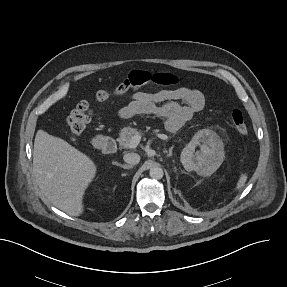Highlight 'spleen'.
Masks as SVG:
<instances>
[{
	"label": "spleen",
	"mask_w": 287,
	"mask_h": 287,
	"mask_svg": "<svg viewBox=\"0 0 287 287\" xmlns=\"http://www.w3.org/2000/svg\"><path fill=\"white\" fill-rule=\"evenodd\" d=\"M247 181V174L246 173H242L238 179L237 185H236V189L240 190L244 187L245 183Z\"/></svg>",
	"instance_id": "obj_1"
}]
</instances>
